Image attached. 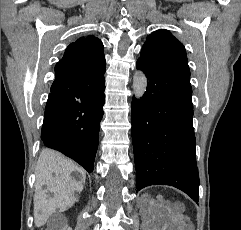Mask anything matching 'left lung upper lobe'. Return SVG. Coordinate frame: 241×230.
I'll list each match as a JSON object with an SVG mask.
<instances>
[{
	"label": "left lung upper lobe",
	"mask_w": 241,
	"mask_h": 230,
	"mask_svg": "<svg viewBox=\"0 0 241 230\" xmlns=\"http://www.w3.org/2000/svg\"><path fill=\"white\" fill-rule=\"evenodd\" d=\"M140 58L190 78L186 50L168 30L161 29L151 33L142 47Z\"/></svg>",
	"instance_id": "1"
}]
</instances>
